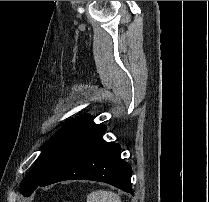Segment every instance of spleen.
I'll return each mask as SVG.
<instances>
[{"label":"spleen","instance_id":"1","mask_svg":"<svg viewBox=\"0 0 209 202\" xmlns=\"http://www.w3.org/2000/svg\"><path fill=\"white\" fill-rule=\"evenodd\" d=\"M87 202H121V199L112 191L97 190L87 196Z\"/></svg>","mask_w":209,"mask_h":202}]
</instances>
